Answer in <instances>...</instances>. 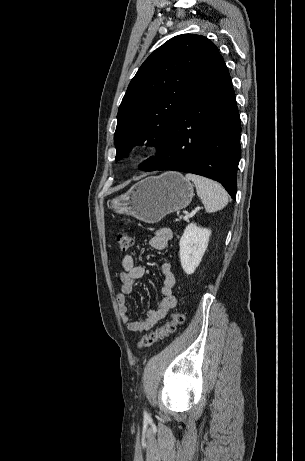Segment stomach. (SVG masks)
Segmentation results:
<instances>
[{
  "instance_id": "1",
  "label": "stomach",
  "mask_w": 305,
  "mask_h": 461,
  "mask_svg": "<svg viewBox=\"0 0 305 461\" xmlns=\"http://www.w3.org/2000/svg\"><path fill=\"white\" fill-rule=\"evenodd\" d=\"M194 196V186L178 172L146 177L108 205L118 214L131 215L146 223L186 208Z\"/></svg>"
}]
</instances>
